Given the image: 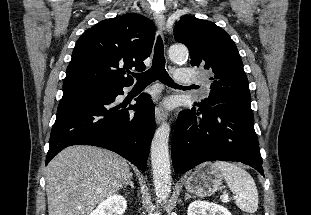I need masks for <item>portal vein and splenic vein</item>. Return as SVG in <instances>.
Returning a JSON list of instances; mask_svg holds the SVG:
<instances>
[{"mask_svg": "<svg viewBox=\"0 0 311 215\" xmlns=\"http://www.w3.org/2000/svg\"><path fill=\"white\" fill-rule=\"evenodd\" d=\"M235 198H236V197H235ZM222 200H223V201H227V200H228V195H227V194H223Z\"/></svg>", "mask_w": 311, "mask_h": 215, "instance_id": "portal-vein-and-splenic-vein-1", "label": "portal vein and splenic vein"}]
</instances>
